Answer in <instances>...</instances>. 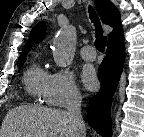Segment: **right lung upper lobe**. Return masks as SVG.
Listing matches in <instances>:
<instances>
[{
    "label": "right lung upper lobe",
    "instance_id": "obj_1",
    "mask_svg": "<svg viewBox=\"0 0 144 137\" xmlns=\"http://www.w3.org/2000/svg\"><path fill=\"white\" fill-rule=\"evenodd\" d=\"M94 2L102 22L113 27V31L108 37V44L123 39L119 10L110 0H94ZM45 31V22H39L32 28L29 40L20 55L18 63L25 62L26 54L31 50L33 43H39L45 38Z\"/></svg>",
    "mask_w": 144,
    "mask_h": 137
}]
</instances>
